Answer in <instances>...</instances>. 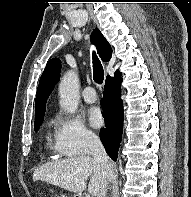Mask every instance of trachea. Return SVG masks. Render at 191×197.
I'll list each match as a JSON object with an SVG mask.
<instances>
[{"mask_svg":"<svg viewBox=\"0 0 191 197\" xmlns=\"http://www.w3.org/2000/svg\"><path fill=\"white\" fill-rule=\"evenodd\" d=\"M92 56H93V79L96 83L101 84L104 80L103 66L95 52H93Z\"/></svg>","mask_w":191,"mask_h":197,"instance_id":"trachea-1","label":"trachea"}]
</instances>
